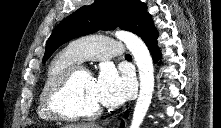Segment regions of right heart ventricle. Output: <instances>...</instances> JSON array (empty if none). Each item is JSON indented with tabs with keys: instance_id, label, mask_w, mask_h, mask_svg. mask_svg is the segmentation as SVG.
Segmentation results:
<instances>
[{
	"instance_id": "right-heart-ventricle-1",
	"label": "right heart ventricle",
	"mask_w": 221,
	"mask_h": 128,
	"mask_svg": "<svg viewBox=\"0 0 221 128\" xmlns=\"http://www.w3.org/2000/svg\"><path fill=\"white\" fill-rule=\"evenodd\" d=\"M81 62L82 61L79 59L78 55L69 46L59 51L50 60L37 100V112L41 118L47 120L53 118V116L49 115L44 109L43 98L45 91L51 83L60 77L67 69L72 66L79 65Z\"/></svg>"
}]
</instances>
